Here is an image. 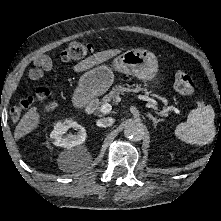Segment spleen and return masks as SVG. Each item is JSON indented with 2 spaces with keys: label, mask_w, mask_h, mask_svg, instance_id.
<instances>
[{
  "label": "spleen",
  "mask_w": 221,
  "mask_h": 221,
  "mask_svg": "<svg viewBox=\"0 0 221 221\" xmlns=\"http://www.w3.org/2000/svg\"><path fill=\"white\" fill-rule=\"evenodd\" d=\"M214 118L212 106L199 102L198 107L189 113L187 121L177 125L174 134L185 143L206 145L216 134Z\"/></svg>",
  "instance_id": "3e777b00"
}]
</instances>
